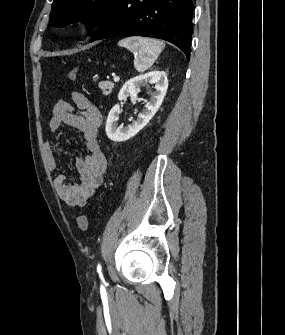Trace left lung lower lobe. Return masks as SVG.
Returning a JSON list of instances; mask_svg holds the SVG:
<instances>
[{"label":"left lung lower lobe","mask_w":285,"mask_h":335,"mask_svg":"<svg viewBox=\"0 0 285 335\" xmlns=\"http://www.w3.org/2000/svg\"><path fill=\"white\" fill-rule=\"evenodd\" d=\"M192 0H116L90 42L120 35L159 38L190 59Z\"/></svg>","instance_id":"1"}]
</instances>
